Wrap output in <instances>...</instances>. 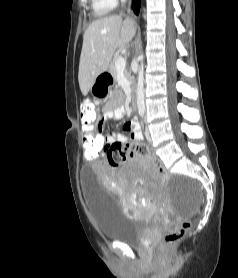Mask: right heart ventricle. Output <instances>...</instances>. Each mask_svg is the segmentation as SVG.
I'll return each instance as SVG.
<instances>
[{"label": "right heart ventricle", "mask_w": 238, "mask_h": 278, "mask_svg": "<svg viewBox=\"0 0 238 278\" xmlns=\"http://www.w3.org/2000/svg\"><path fill=\"white\" fill-rule=\"evenodd\" d=\"M116 5L114 0H91V6L97 17L104 16L111 12Z\"/></svg>", "instance_id": "obj_1"}]
</instances>
